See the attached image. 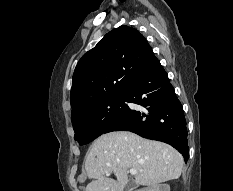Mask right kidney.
I'll return each mask as SVG.
<instances>
[{
    "mask_svg": "<svg viewBox=\"0 0 233 191\" xmlns=\"http://www.w3.org/2000/svg\"><path fill=\"white\" fill-rule=\"evenodd\" d=\"M147 191H170V186L168 184L155 185Z\"/></svg>",
    "mask_w": 233,
    "mask_h": 191,
    "instance_id": "obj_1",
    "label": "right kidney"
}]
</instances>
